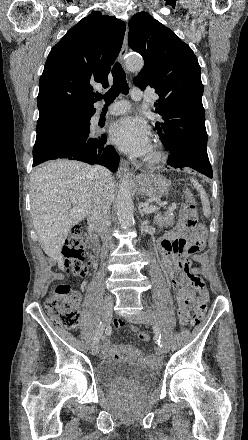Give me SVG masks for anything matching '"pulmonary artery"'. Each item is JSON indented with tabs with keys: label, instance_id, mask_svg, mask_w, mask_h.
<instances>
[{
	"label": "pulmonary artery",
	"instance_id": "1",
	"mask_svg": "<svg viewBox=\"0 0 248 440\" xmlns=\"http://www.w3.org/2000/svg\"><path fill=\"white\" fill-rule=\"evenodd\" d=\"M132 99L135 101L141 100L143 98V92L139 88H134L131 93ZM129 110V103L127 101H119L113 104L107 111L106 115H120L124 114ZM101 115L97 113L93 116V121L98 122Z\"/></svg>",
	"mask_w": 248,
	"mask_h": 440
}]
</instances>
